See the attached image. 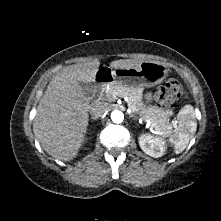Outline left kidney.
Returning <instances> with one entry per match:
<instances>
[{
	"instance_id": "5707ae66",
	"label": "left kidney",
	"mask_w": 221,
	"mask_h": 221,
	"mask_svg": "<svg viewBox=\"0 0 221 221\" xmlns=\"http://www.w3.org/2000/svg\"><path fill=\"white\" fill-rule=\"evenodd\" d=\"M139 145L147 155L154 158L163 156L166 150L165 142L162 139L153 138L150 135H141Z\"/></svg>"
}]
</instances>
